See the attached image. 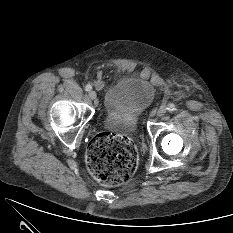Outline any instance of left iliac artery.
I'll list each match as a JSON object with an SVG mask.
<instances>
[{
  "instance_id": "obj_1",
  "label": "left iliac artery",
  "mask_w": 233,
  "mask_h": 233,
  "mask_svg": "<svg viewBox=\"0 0 233 233\" xmlns=\"http://www.w3.org/2000/svg\"><path fill=\"white\" fill-rule=\"evenodd\" d=\"M169 112H173L176 110L175 105L172 103H169L166 108Z\"/></svg>"
}]
</instances>
